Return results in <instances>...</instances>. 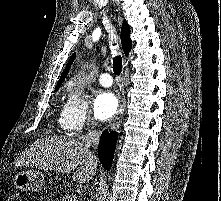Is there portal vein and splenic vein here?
I'll return each instance as SVG.
<instances>
[{
	"mask_svg": "<svg viewBox=\"0 0 221 201\" xmlns=\"http://www.w3.org/2000/svg\"><path fill=\"white\" fill-rule=\"evenodd\" d=\"M75 199H77L76 196H70L68 201H75Z\"/></svg>",
	"mask_w": 221,
	"mask_h": 201,
	"instance_id": "portal-vein-and-splenic-vein-1",
	"label": "portal vein and splenic vein"
}]
</instances>
